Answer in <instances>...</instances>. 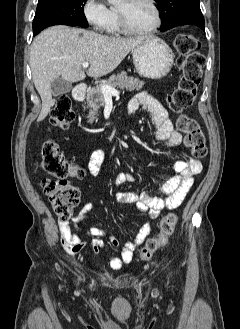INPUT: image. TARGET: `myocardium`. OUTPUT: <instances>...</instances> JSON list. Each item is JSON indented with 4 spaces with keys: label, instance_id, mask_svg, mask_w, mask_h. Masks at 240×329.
Returning a JSON list of instances; mask_svg holds the SVG:
<instances>
[{
    "label": "myocardium",
    "instance_id": "obj_1",
    "mask_svg": "<svg viewBox=\"0 0 240 329\" xmlns=\"http://www.w3.org/2000/svg\"><path fill=\"white\" fill-rule=\"evenodd\" d=\"M148 3L151 5V7L154 10V14H155V21L154 23L143 30H134L132 29L127 22L126 16L124 14V12L120 9L117 8V15H118V21H119V27H120V31L123 34L126 35H130V36H146L149 34L154 33L162 24V14H161V10L156 2V0H147Z\"/></svg>",
    "mask_w": 240,
    "mask_h": 329
}]
</instances>
